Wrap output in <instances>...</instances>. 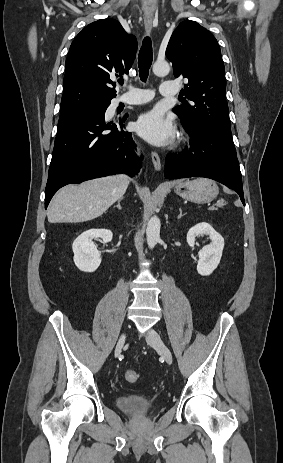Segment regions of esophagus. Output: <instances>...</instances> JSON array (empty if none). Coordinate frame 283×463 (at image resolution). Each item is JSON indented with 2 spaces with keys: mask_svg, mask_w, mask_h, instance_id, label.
Listing matches in <instances>:
<instances>
[{
  "mask_svg": "<svg viewBox=\"0 0 283 463\" xmlns=\"http://www.w3.org/2000/svg\"><path fill=\"white\" fill-rule=\"evenodd\" d=\"M144 24H145L146 30L151 31L152 25H153V16L152 15H146L144 17ZM151 159H152L153 166H154L155 170L160 171L161 170V161H160L159 155L155 151L151 152Z\"/></svg>",
  "mask_w": 283,
  "mask_h": 463,
  "instance_id": "1",
  "label": "esophagus"
}]
</instances>
